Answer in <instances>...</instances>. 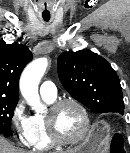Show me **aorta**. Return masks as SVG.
Returning <instances> with one entry per match:
<instances>
[{"label": "aorta", "mask_w": 130, "mask_h": 153, "mask_svg": "<svg viewBox=\"0 0 130 153\" xmlns=\"http://www.w3.org/2000/svg\"><path fill=\"white\" fill-rule=\"evenodd\" d=\"M48 66L46 58H38L29 63L20 77V91L22 96L35 111L44 110L40 101L38 85Z\"/></svg>", "instance_id": "obj_1"}]
</instances>
